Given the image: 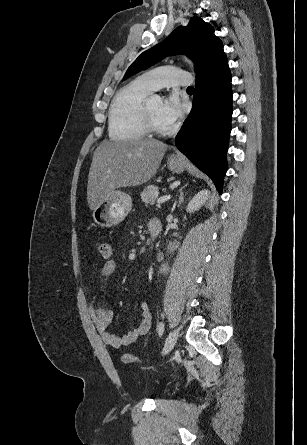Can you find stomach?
<instances>
[{
	"instance_id": "0dacf381",
	"label": "stomach",
	"mask_w": 307,
	"mask_h": 445,
	"mask_svg": "<svg viewBox=\"0 0 307 445\" xmlns=\"http://www.w3.org/2000/svg\"><path fill=\"white\" fill-rule=\"evenodd\" d=\"M168 168L174 172H183L184 166L180 160H168ZM132 208V198L123 190H113L108 198L102 200L92 212L93 220L96 225L111 229L116 227L126 218Z\"/></svg>"
}]
</instances>
